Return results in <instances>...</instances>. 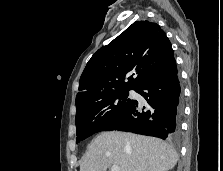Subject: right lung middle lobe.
<instances>
[{
	"mask_svg": "<svg viewBox=\"0 0 223 171\" xmlns=\"http://www.w3.org/2000/svg\"><path fill=\"white\" fill-rule=\"evenodd\" d=\"M128 96L129 90L119 91L76 109L77 143L118 120L134 101Z\"/></svg>",
	"mask_w": 223,
	"mask_h": 171,
	"instance_id": "obj_1",
	"label": "right lung middle lobe"
}]
</instances>
